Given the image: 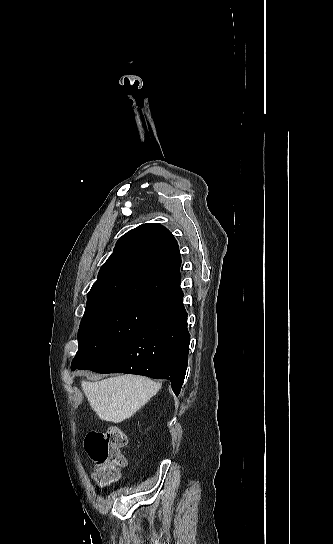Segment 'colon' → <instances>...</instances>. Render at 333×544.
Instances as JSON below:
<instances>
[{
    "label": "colon",
    "instance_id": "obj_1",
    "mask_svg": "<svg viewBox=\"0 0 333 544\" xmlns=\"http://www.w3.org/2000/svg\"><path fill=\"white\" fill-rule=\"evenodd\" d=\"M127 436L117 426L105 431H93L85 439L84 447L95 466L94 479L102 486L109 485L119 478V471L126 464L122 449Z\"/></svg>",
    "mask_w": 333,
    "mask_h": 544
}]
</instances>
